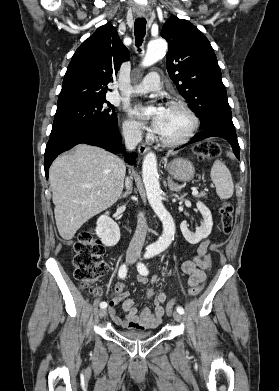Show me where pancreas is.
I'll use <instances>...</instances> for the list:
<instances>
[{"label":"pancreas","instance_id":"cf45deb5","mask_svg":"<svg viewBox=\"0 0 279 391\" xmlns=\"http://www.w3.org/2000/svg\"><path fill=\"white\" fill-rule=\"evenodd\" d=\"M198 198H202V197H206V193H201L199 195H197Z\"/></svg>","mask_w":279,"mask_h":391}]
</instances>
